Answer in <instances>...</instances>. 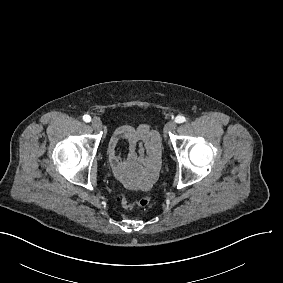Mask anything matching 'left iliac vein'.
Returning a JSON list of instances; mask_svg holds the SVG:
<instances>
[{
    "label": "left iliac vein",
    "instance_id": "4c4485c4",
    "mask_svg": "<svg viewBox=\"0 0 283 283\" xmlns=\"http://www.w3.org/2000/svg\"><path fill=\"white\" fill-rule=\"evenodd\" d=\"M176 122L171 120L164 127V134L167 135L168 132H173L176 129Z\"/></svg>",
    "mask_w": 283,
    "mask_h": 283
}]
</instances>
